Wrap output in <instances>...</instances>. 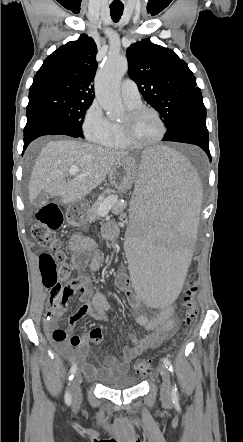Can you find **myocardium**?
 Returning <instances> with one entry per match:
<instances>
[{"label":"myocardium","mask_w":243,"mask_h":442,"mask_svg":"<svg viewBox=\"0 0 243 442\" xmlns=\"http://www.w3.org/2000/svg\"><path fill=\"white\" fill-rule=\"evenodd\" d=\"M145 112H151L152 114L155 115V117L157 118V120L160 124V133L155 139H153L151 141L137 142L132 139L131 128H132L133 122L140 115H142ZM166 131H167V128H166V124L164 122L163 117L161 116L160 112L157 109H155L154 107H151V106L139 105L135 108L129 109L126 117L120 122L121 137H122L124 143L128 147H133V148H147V147H151V146L158 144L165 137Z\"/></svg>","instance_id":"f54148a6"}]
</instances>
